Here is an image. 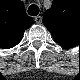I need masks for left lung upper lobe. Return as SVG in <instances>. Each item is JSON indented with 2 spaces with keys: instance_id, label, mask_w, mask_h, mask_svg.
<instances>
[{
  "instance_id": "left-lung-upper-lobe-1",
  "label": "left lung upper lobe",
  "mask_w": 80,
  "mask_h": 80,
  "mask_svg": "<svg viewBox=\"0 0 80 80\" xmlns=\"http://www.w3.org/2000/svg\"><path fill=\"white\" fill-rule=\"evenodd\" d=\"M69 3V0H54L51 9L44 15L45 26L61 45L64 43L74 44L73 34L79 27L74 24Z\"/></svg>"
}]
</instances>
